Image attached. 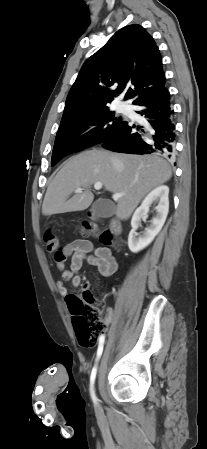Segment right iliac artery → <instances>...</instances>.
Returning a JSON list of instances; mask_svg holds the SVG:
<instances>
[{
  "label": "right iliac artery",
  "instance_id": "right-iliac-artery-1",
  "mask_svg": "<svg viewBox=\"0 0 207 449\" xmlns=\"http://www.w3.org/2000/svg\"><path fill=\"white\" fill-rule=\"evenodd\" d=\"M104 342H105V336L102 335L99 338V346L97 349L96 364L93 367L91 376H90V393H91L92 400L95 404L97 403V398H96L95 391H94V383H95V378H96V373H97V363L102 355Z\"/></svg>",
  "mask_w": 207,
  "mask_h": 449
}]
</instances>
